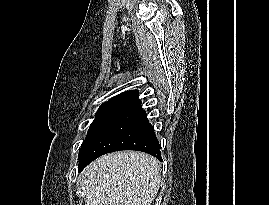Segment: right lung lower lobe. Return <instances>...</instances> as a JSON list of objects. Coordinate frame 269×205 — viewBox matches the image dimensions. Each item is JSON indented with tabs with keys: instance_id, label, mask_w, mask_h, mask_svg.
<instances>
[{
	"instance_id": "obj_1",
	"label": "right lung lower lobe",
	"mask_w": 269,
	"mask_h": 205,
	"mask_svg": "<svg viewBox=\"0 0 269 205\" xmlns=\"http://www.w3.org/2000/svg\"><path fill=\"white\" fill-rule=\"evenodd\" d=\"M153 126L141 104L130 107L112 119L84 148L79 172L99 156L120 150L146 152L162 161Z\"/></svg>"
}]
</instances>
